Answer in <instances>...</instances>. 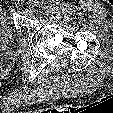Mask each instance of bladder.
Wrapping results in <instances>:
<instances>
[{"label": "bladder", "mask_w": 113, "mask_h": 113, "mask_svg": "<svg viewBox=\"0 0 113 113\" xmlns=\"http://www.w3.org/2000/svg\"><path fill=\"white\" fill-rule=\"evenodd\" d=\"M13 42V32L9 25L5 10L0 5V52Z\"/></svg>", "instance_id": "31cf9c89"}]
</instances>
